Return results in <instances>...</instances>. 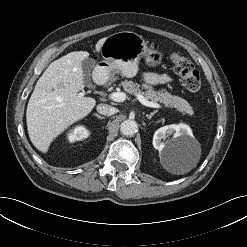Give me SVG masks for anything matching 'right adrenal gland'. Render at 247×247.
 Wrapping results in <instances>:
<instances>
[{
  "instance_id": "right-adrenal-gland-1",
  "label": "right adrenal gland",
  "mask_w": 247,
  "mask_h": 247,
  "mask_svg": "<svg viewBox=\"0 0 247 247\" xmlns=\"http://www.w3.org/2000/svg\"><path fill=\"white\" fill-rule=\"evenodd\" d=\"M94 116H96L97 118H99V119H105V117H103V116H100L99 114H97V113H95L94 114Z\"/></svg>"
}]
</instances>
